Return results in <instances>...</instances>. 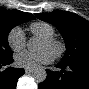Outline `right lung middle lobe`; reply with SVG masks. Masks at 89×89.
Listing matches in <instances>:
<instances>
[{
  "mask_svg": "<svg viewBox=\"0 0 89 89\" xmlns=\"http://www.w3.org/2000/svg\"><path fill=\"white\" fill-rule=\"evenodd\" d=\"M24 20L18 19L8 14H0V59L12 55L8 44V34L12 28L24 23Z\"/></svg>",
  "mask_w": 89,
  "mask_h": 89,
  "instance_id": "obj_1",
  "label": "right lung middle lobe"
}]
</instances>
